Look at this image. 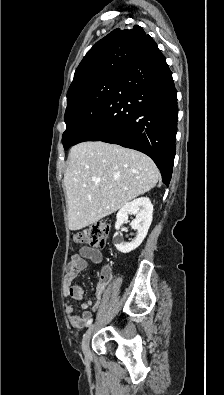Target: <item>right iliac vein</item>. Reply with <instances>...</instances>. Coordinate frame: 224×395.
I'll return each instance as SVG.
<instances>
[{
	"label": "right iliac vein",
	"instance_id": "1",
	"mask_svg": "<svg viewBox=\"0 0 224 395\" xmlns=\"http://www.w3.org/2000/svg\"><path fill=\"white\" fill-rule=\"evenodd\" d=\"M92 333H93V325H91L87 329V331L85 332L83 339H82L81 347H82V351L86 357H89L91 355L89 344H90V339H91Z\"/></svg>",
	"mask_w": 224,
	"mask_h": 395
}]
</instances>
